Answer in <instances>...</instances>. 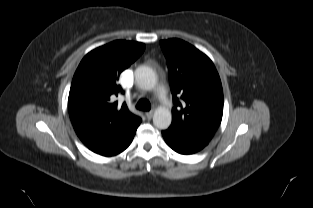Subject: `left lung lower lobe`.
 Returning a JSON list of instances; mask_svg holds the SVG:
<instances>
[{
  "label": "left lung lower lobe",
  "instance_id": "left-lung-lower-lobe-1",
  "mask_svg": "<svg viewBox=\"0 0 313 208\" xmlns=\"http://www.w3.org/2000/svg\"><path fill=\"white\" fill-rule=\"evenodd\" d=\"M162 135L166 143L180 154H193L203 149L208 143L183 138L176 133L165 130Z\"/></svg>",
  "mask_w": 313,
  "mask_h": 208
}]
</instances>
